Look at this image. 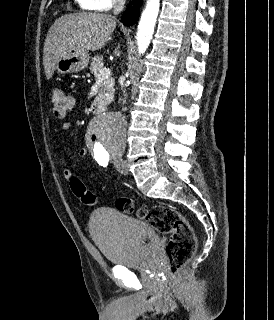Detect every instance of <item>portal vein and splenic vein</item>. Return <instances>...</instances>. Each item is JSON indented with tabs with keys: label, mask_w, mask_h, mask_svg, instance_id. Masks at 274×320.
Returning <instances> with one entry per match:
<instances>
[{
	"label": "portal vein and splenic vein",
	"mask_w": 274,
	"mask_h": 320,
	"mask_svg": "<svg viewBox=\"0 0 274 320\" xmlns=\"http://www.w3.org/2000/svg\"><path fill=\"white\" fill-rule=\"evenodd\" d=\"M111 74V70H108V68H102V70H99L98 78H109Z\"/></svg>",
	"instance_id": "portal-vein-and-splenic-vein-1"
}]
</instances>
